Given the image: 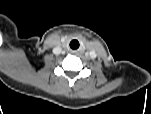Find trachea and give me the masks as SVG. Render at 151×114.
Masks as SVG:
<instances>
[{
    "mask_svg": "<svg viewBox=\"0 0 151 114\" xmlns=\"http://www.w3.org/2000/svg\"><path fill=\"white\" fill-rule=\"evenodd\" d=\"M79 42L77 40H72L70 42V48L73 49V50H76L79 48Z\"/></svg>",
    "mask_w": 151,
    "mask_h": 114,
    "instance_id": "trachea-1",
    "label": "trachea"
}]
</instances>
